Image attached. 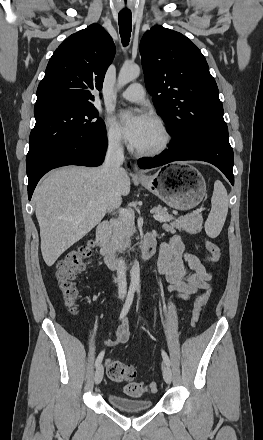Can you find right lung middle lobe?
I'll list each match as a JSON object with an SVG mask.
<instances>
[{
    "label": "right lung middle lobe",
    "instance_id": "1",
    "mask_svg": "<svg viewBox=\"0 0 263 440\" xmlns=\"http://www.w3.org/2000/svg\"><path fill=\"white\" fill-rule=\"evenodd\" d=\"M34 115L36 124L30 134L26 163L58 144L98 138L106 133L103 120L97 118L98 112L91 104L35 108Z\"/></svg>",
    "mask_w": 263,
    "mask_h": 440
}]
</instances>
